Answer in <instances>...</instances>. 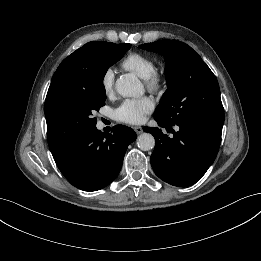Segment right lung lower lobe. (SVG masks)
Masks as SVG:
<instances>
[{"label": "right lung lower lobe", "instance_id": "98d812e1", "mask_svg": "<svg viewBox=\"0 0 261 261\" xmlns=\"http://www.w3.org/2000/svg\"><path fill=\"white\" fill-rule=\"evenodd\" d=\"M136 137L133 129L123 125L114 126L108 135L94 127L53 154V158L72 185L96 191L117 177L127 147Z\"/></svg>", "mask_w": 261, "mask_h": 261}]
</instances>
